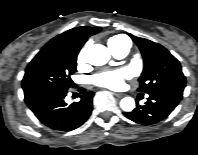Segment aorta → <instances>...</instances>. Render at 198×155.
Returning a JSON list of instances; mask_svg holds the SVG:
<instances>
[{
	"mask_svg": "<svg viewBox=\"0 0 198 155\" xmlns=\"http://www.w3.org/2000/svg\"><path fill=\"white\" fill-rule=\"evenodd\" d=\"M86 55L87 61L94 66H102L110 59L109 50L101 44L90 46ZM120 107L125 112H131L135 108V100L132 97H125L120 101Z\"/></svg>",
	"mask_w": 198,
	"mask_h": 155,
	"instance_id": "762f6f07",
	"label": "aorta"
}]
</instances>
